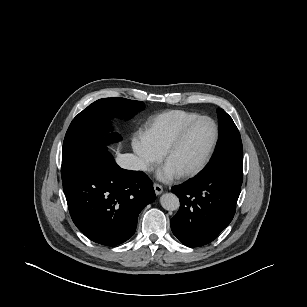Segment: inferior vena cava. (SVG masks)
Listing matches in <instances>:
<instances>
[{
  "mask_svg": "<svg viewBox=\"0 0 307 307\" xmlns=\"http://www.w3.org/2000/svg\"><path fill=\"white\" fill-rule=\"evenodd\" d=\"M117 163L121 168L128 170H146V163L133 154H122L117 157Z\"/></svg>",
  "mask_w": 307,
  "mask_h": 307,
  "instance_id": "1",
  "label": "inferior vena cava"
}]
</instances>
